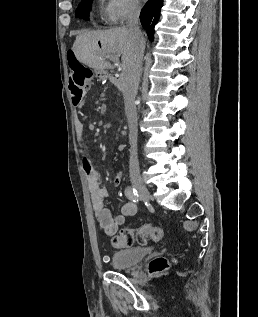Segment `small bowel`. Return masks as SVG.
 I'll use <instances>...</instances> for the list:
<instances>
[{"instance_id": "small-bowel-1", "label": "small bowel", "mask_w": 258, "mask_h": 317, "mask_svg": "<svg viewBox=\"0 0 258 317\" xmlns=\"http://www.w3.org/2000/svg\"><path fill=\"white\" fill-rule=\"evenodd\" d=\"M74 130L79 144L83 143L84 122L81 117L74 120ZM82 167L86 175L88 188L91 197V204L97 221L107 236H113L117 233L119 226L123 225L127 217L136 213V205L133 202L125 203L121 208V213L115 217L105 205L107 191L103 187L100 175L94 168L91 159L82 154ZM123 173L119 172L114 177L113 183L118 186L122 183Z\"/></svg>"}]
</instances>
